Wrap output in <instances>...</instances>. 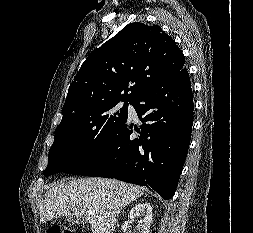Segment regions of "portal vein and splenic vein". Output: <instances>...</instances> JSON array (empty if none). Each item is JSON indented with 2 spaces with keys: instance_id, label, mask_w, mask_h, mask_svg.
Segmentation results:
<instances>
[{
  "instance_id": "portal-vein-and-splenic-vein-1",
  "label": "portal vein and splenic vein",
  "mask_w": 253,
  "mask_h": 233,
  "mask_svg": "<svg viewBox=\"0 0 253 233\" xmlns=\"http://www.w3.org/2000/svg\"><path fill=\"white\" fill-rule=\"evenodd\" d=\"M94 210H89V214H94Z\"/></svg>"
}]
</instances>
